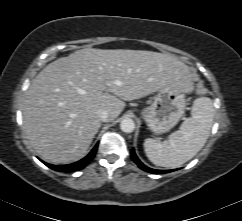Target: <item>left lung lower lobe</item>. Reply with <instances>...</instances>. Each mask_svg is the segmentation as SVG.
Instances as JSON below:
<instances>
[{
	"mask_svg": "<svg viewBox=\"0 0 242 221\" xmlns=\"http://www.w3.org/2000/svg\"><path fill=\"white\" fill-rule=\"evenodd\" d=\"M131 158L142 170L152 174L168 173V172L174 171V170H155L145 166L136 156L134 149L131 150Z\"/></svg>",
	"mask_w": 242,
	"mask_h": 221,
	"instance_id": "1",
	"label": "left lung lower lobe"
}]
</instances>
